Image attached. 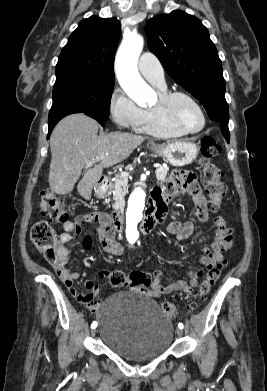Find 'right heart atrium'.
Here are the masks:
<instances>
[{
  "label": "right heart atrium",
  "instance_id": "right-heart-atrium-1",
  "mask_svg": "<svg viewBox=\"0 0 267 391\" xmlns=\"http://www.w3.org/2000/svg\"><path fill=\"white\" fill-rule=\"evenodd\" d=\"M109 113L113 122L122 129H135L143 117V109L120 89H115L111 96Z\"/></svg>",
  "mask_w": 267,
  "mask_h": 391
}]
</instances>
